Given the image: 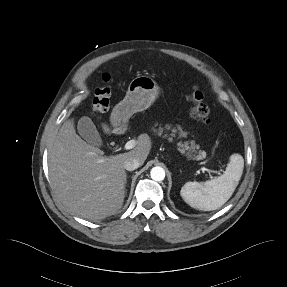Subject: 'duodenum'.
I'll return each instance as SVG.
<instances>
[{"label":"duodenum","instance_id":"1","mask_svg":"<svg viewBox=\"0 0 287 287\" xmlns=\"http://www.w3.org/2000/svg\"><path fill=\"white\" fill-rule=\"evenodd\" d=\"M117 128H118L120 131H123V130L126 129V124L118 125Z\"/></svg>","mask_w":287,"mask_h":287}]
</instances>
